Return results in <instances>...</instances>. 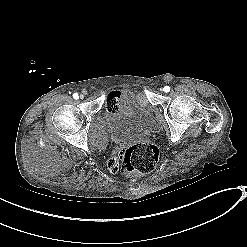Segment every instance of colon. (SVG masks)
<instances>
[{
    "label": "colon",
    "instance_id": "obj_1",
    "mask_svg": "<svg viewBox=\"0 0 247 247\" xmlns=\"http://www.w3.org/2000/svg\"><path fill=\"white\" fill-rule=\"evenodd\" d=\"M159 161V149L152 143H140L122 152L118 174L126 176L131 172L145 173L152 170Z\"/></svg>",
    "mask_w": 247,
    "mask_h": 247
}]
</instances>
